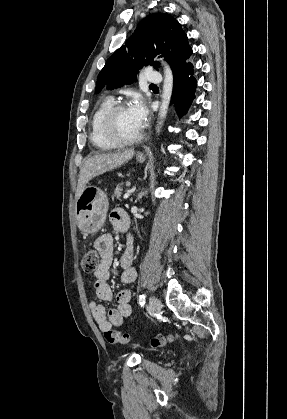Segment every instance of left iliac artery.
<instances>
[{"mask_svg": "<svg viewBox=\"0 0 287 419\" xmlns=\"http://www.w3.org/2000/svg\"><path fill=\"white\" fill-rule=\"evenodd\" d=\"M139 304L141 306H144L145 305V295L144 294H140L139 295Z\"/></svg>", "mask_w": 287, "mask_h": 419, "instance_id": "1", "label": "left iliac artery"}]
</instances>
